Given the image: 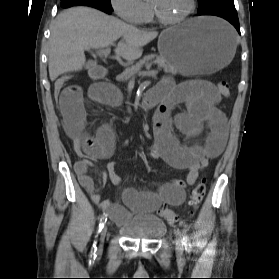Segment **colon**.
I'll list each match as a JSON object with an SVG mask.
<instances>
[{
    "instance_id": "obj_1",
    "label": "colon",
    "mask_w": 279,
    "mask_h": 279,
    "mask_svg": "<svg viewBox=\"0 0 279 279\" xmlns=\"http://www.w3.org/2000/svg\"><path fill=\"white\" fill-rule=\"evenodd\" d=\"M68 82L67 76H62L58 78L54 84V96L56 99H59L62 91L66 87ZM217 90L220 94L224 96H228L230 94L229 85L227 83L221 82L217 84ZM206 191L205 180L201 179L196 183L192 192H191V200L190 204L193 208H196L204 198ZM160 215L166 219L169 223H176L180 220V217L176 212L168 208H162L160 210Z\"/></svg>"
}]
</instances>
